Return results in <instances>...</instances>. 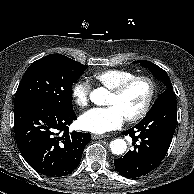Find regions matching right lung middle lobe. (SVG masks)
<instances>
[{
  "label": "right lung middle lobe",
  "instance_id": "dd1d6c3e",
  "mask_svg": "<svg viewBox=\"0 0 194 194\" xmlns=\"http://www.w3.org/2000/svg\"><path fill=\"white\" fill-rule=\"evenodd\" d=\"M86 68L61 54L33 62L19 83L14 105L35 101L57 109L72 107V85Z\"/></svg>",
  "mask_w": 194,
  "mask_h": 194
}]
</instances>
